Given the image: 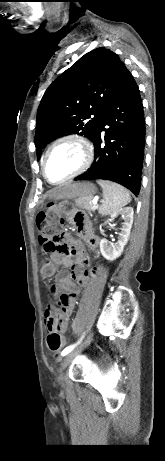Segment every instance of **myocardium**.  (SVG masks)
I'll return each instance as SVG.
<instances>
[{
    "mask_svg": "<svg viewBox=\"0 0 165 461\" xmlns=\"http://www.w3.org/2000/svg\"><path fill=\"white\" fill-rule=\"evenodd\" d=\"M63 143H73L78 146L82 153V162L81 164L69 175L58 181H52L46 171V160L50 152L58 145ZM94 159V151L91 143L82 135L79 134H66L55 139L45 150L42 158V172L44 178L51 184H61L66 181H69L80 174L84 173L92 164Z\"/></svg>",
    "mask_w": 165,
    "mask_h": 461,
    "instance_id": "1",
    "label": "myocardium"
}]
</instances>
